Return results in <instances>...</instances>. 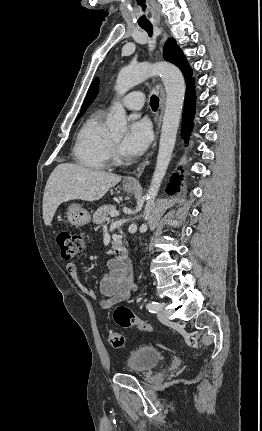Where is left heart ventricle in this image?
I'll list each match as a JSON object with an SVG mask.
<instances>
[{"instance_id":"left-heart-ventricle-1","label":"left heart ventricle","mask_w":262,"mask_h":431,"mask_svg":"<svg viewBox=\"0 0 262 431\" xmlns=\"http://www.w3.org/2000/svg\"><path fill=\"white\" fill-rule=\"evenodd\" d=\"M113 139H114V141L118 142V141H120L121 138L120 137H114Z\"/></svg>"}]
</instances>
